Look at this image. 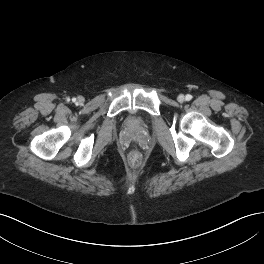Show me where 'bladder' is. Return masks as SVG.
Listing matches in <instances>:
<instances>
[{"instance_id": "bladder-1", "label": "bladder", "mask_w": 264, "mask_h": 264, "mask_svg": "<svg viewBox=\"0 0 264 264\" xmlns=\"http://www.w3.org/2000/svg\"><path fill=\"white\" fill-rule=\"evenodd\" d=\"M134 124L137 126H140V125H142V122L139 121V122H135Z\"/></svg>"}]
</instances>
